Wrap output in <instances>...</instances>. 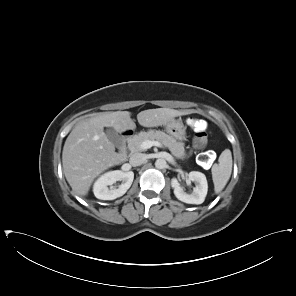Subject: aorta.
Returning a JSON list of instances; mask_svg holds the SVG:
<instances>
[{
	"label": "aorta",
	"mask_w": 296,
	"mask_h": 296,
	"mask_svg": "<svg viewBox=\"0 0 296 296\" xmlns=\"http://www.w3.org/2000/svg\"><path fill=\"white\" fill-rule=\"evenodd\" d=\"M167 163L164 159H157L155 162V167L157 169H164L166 167Z\"/></svg>",
	"instance_id": "obj_1"
}]
</instances>
